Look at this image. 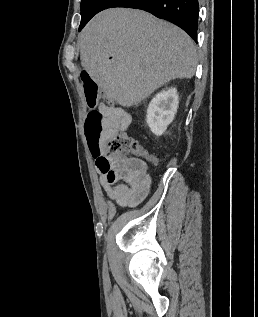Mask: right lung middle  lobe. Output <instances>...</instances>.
I'll use <instances>...</instances> for the list:
<instances>
[{"label": "right lung middle lobe", "mask_w": 258, "mask_h": 317, "mask_svg": "<svg viewBox=\"0 0 258 317\" xmlns=\"http://www.w3.org/2000/svg\"><path fill=\"white\" fill-rule=\"evenodd\" d=\"M88 0H82L81 1V5H80V7L82 8L83 7V5L87 2Z\"/></svg>", "instance_id": "dd1d6c3e"}]
</instances>
